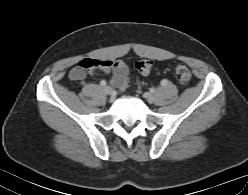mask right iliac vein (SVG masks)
Returning <instances> with one entry per match:
<instances>
[{
  "label": "right iliac vein",
  "mask_w": 248,
  "mask_h": 195,
  "mask_svg": "<svg viewBox=\"0 0 248 195\" xmlns=\"http://www.w3.org/2000/svg\"><path fill=\"white\" fill-rule=\"evenodd\" d=\"M104 92L107 94V95H111L113 90L110 86H105L104 87Z\"/></svg>",
  "instance_id": "right-iliac-vein-1"
}]
</instances>
